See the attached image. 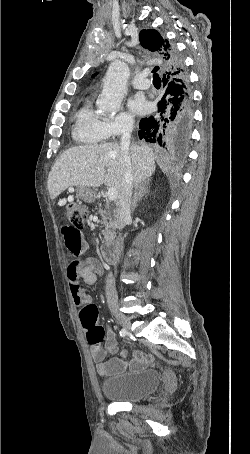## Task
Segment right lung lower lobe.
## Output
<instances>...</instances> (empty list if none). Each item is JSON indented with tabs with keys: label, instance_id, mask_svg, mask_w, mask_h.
I'll return each instance as SVG.
<instances>
[{
	"label": "right lung lower lobe",
	"instance_id": "obj_1",
	"mask_svg": "<svg viewBox=\"0 0 250 454\" xmlns=\"http://www.w3.org/2000/svg\"><path fill=\"white\" fill-rule=\"evenodd\" d=\"M172 73L163 74L164 93L158 110L143 118L139 124V138L164 148L177 149L189 140L192 124V99L188 75L181 56L170 44Z\"/></svg>",
	"mask_w": 250,
	"mask_h": 454
}]
</instances>
